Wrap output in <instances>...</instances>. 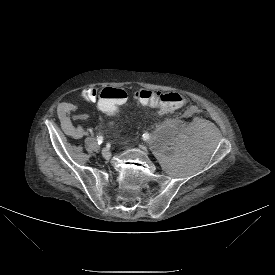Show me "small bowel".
<instances>
[{
  "instance_id": "1",
  "label": "small bowel",
  "mask_w": 275,
  "mask_h": 275,
  "mask_svg": "<svg viewBox=\"0 0 275 275\" xmlns=\"http://www.w3.org/2000/svg\"><path fill=\"white\" fill-rule=\"evenodd\" d=\"M100 92L94 87H88L82 90L81 97L87 102H96L99 99ZM60 114V123L65 133L79 139L84 135L82 127L75 125L69 116L79 117L83 113V105L79 101H62L58 107Z\"/></svg>"
}]
</instances>
